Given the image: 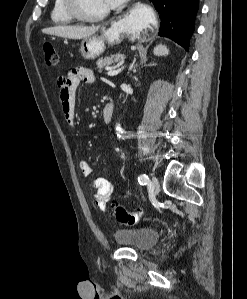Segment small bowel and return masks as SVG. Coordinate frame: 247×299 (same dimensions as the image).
Wrapping results in <instances>:
<instances>
[{
  "mask_svg": "<svg viewBox=\"0 0 247 299\" xmlns=\"http://www.w3.org/2000/svg\"><path fill=\"white\" fill-rule=\"evenodd\" d=\"M94 82L95 75L88 69H71L66 76L57 79L62 112L70 126H75L76 91L78 86L81 83L91 84ZM79 168L84 177H88L92 173L90 164L85 160L80 161ZM90 187L95 189L96 206L101 210H105L113 195L114 183L107 178L99 177L91 182Z\"/></svg>",
  "mask_w": 247,
  "mask_h": 299,
  "instance_id": "obj_1",
  "label": "small bowel"
}]
</instances>
